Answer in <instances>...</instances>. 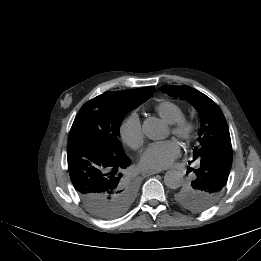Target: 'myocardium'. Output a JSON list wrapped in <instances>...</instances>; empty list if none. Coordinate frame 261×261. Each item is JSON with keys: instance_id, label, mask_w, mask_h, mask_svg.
I'll return each instance as SVG.
<instances>
[{"instance_id": "1", "label": "myocardium", "mask_w": 261, "mask_h": 261, "mask_svg": "<svg viewBox=\"0 0 261 261\" xmlns=\"http://www.w3.org/2000/svg\"><path fill=\"white\" fill-rule=\"evenodd\" d=\"M197 123L188 117H182L172 124V133L184 142H190L196 134Z\"/></svg>"}]
</instances>
